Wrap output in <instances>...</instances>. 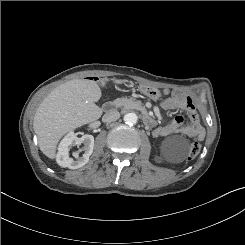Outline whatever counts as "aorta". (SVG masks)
<instances>
[{
  "mask_svg": "<svg viewBox=\"0 0 245 245\" xmlns=\"http://www.w3.org/2000/svg\"><path fill=\"white\" fill-rule=\"evenodd\" d=\"M138 117L134 112H129L124 115V121L128 125H134L137 123Z\"/></svg>",
  "mask_w": 245,
  "mask_h": 245,
  "instance_id": "aorta-1",
  "label": "aorta"
}]
</instances>
